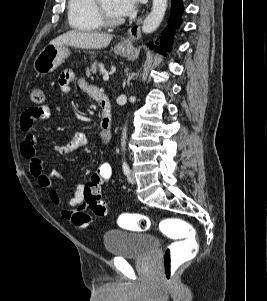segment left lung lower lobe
Segmentation results:
<instances>
[{
	"instance_id": "obj_1",
	"label": "left lung lower lobe",
	"mask_w": 267,
	"mask_h": 301,
	"mask_svg": "<svg viewBox=\"0 0 267 301\" xmlns=\"http://www.w3.org/2000/svg\"><path fill=\"white\" fill-rule=\"evenodd\" d=\"M182 0H171V15L169 19V27L166 28L161 37V45L159 47H155L152 42L148 44L151 49L159 51L161 54H165L164 51H170L171 48V39L174 33V29L178 28L181 24V15L183 12ZM162 48L163 50H159Z\"/></svg>"
}]
</instances>
